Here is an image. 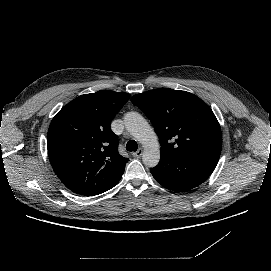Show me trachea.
Instances as JSON below:
<instances>
[{"label":"trachea","instance_id":"obj_1","mask_svg":"<svg viewBox=\"0 0 271 271\" xmlns=\"http://www.w3.org/2000/svg\"><path fill=\"white\" fill-rule=\"evenodd\" d=\"M137 147H138L137 142L134 141V140H130V141H128L127 144H126V150H127V151H130V152L136 151V150H137Z\"/></svg>","mask_w":271,"mask_h":271}]
</instances>
